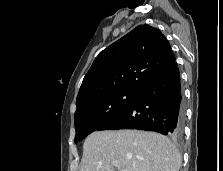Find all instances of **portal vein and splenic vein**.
I'll return each mask as SVG.
<instances>
[{"mask_svg":"<svg viewBox=\"0 0 223 171\" xmlns=\"http://www.w3.org/2000/svg\"><path fill=\"white\" fill-rule=\"evenodd\" d=\"M114 166H115V167H118V164H117V163H115V164H114ZM122 171H126V170H124V169H123Z\"/></svg>","mask_w":223,"mask_h":171,"instance_id":"18ae733b","label":"portal vein and splenic vein"}]
</instances>
